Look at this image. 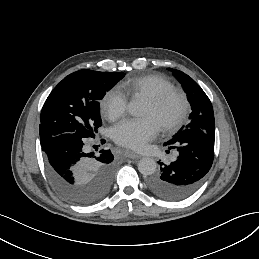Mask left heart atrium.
I'll return each instance as SVG.
<instances>
[{
	"label": "left heart atrium",
	"instance_id": "39dd6f15",
	"mask_svg": "<svg viewBox=\"0 0 259 259\" xmlns=\"http://www.w3.org/2000/svg\"><path fill=\"white\" fill-rule=\"evenodd\" d=\"M161 130L154 117L124 119L111 128L113 140L123 146L141 150L154 140Z\"/></svg>",
	"mask_w": 259,
	"mask_h": 259
}]
</instances>
